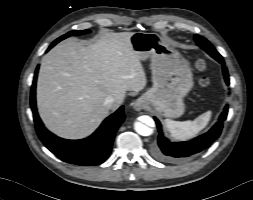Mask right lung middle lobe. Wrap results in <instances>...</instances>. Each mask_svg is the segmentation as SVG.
<instances>
[{
    "instance_id": "obj_1",
    "label": "right lung middle lobe",
    "mask_w": 253,
    "mask_h": 200,
    "mask_svg": "<svg viewBox=\"0 0 253 200\" xmlns=\"http://www.w3.org/2000/svg\"><path fill=\"white\" fill-rule=\"evenodd\" d=\"M90 31L89 30H82V31H71L61 37H59L58 39L55 40V43H58L59 41L71 36V35H81V34H86V33H89Z\"/></svg>"
}]
</instances>
